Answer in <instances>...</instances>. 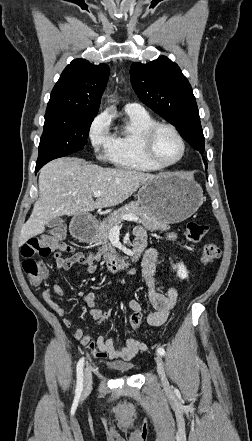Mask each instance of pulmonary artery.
<instances>
[{"instance_id":"1","label":"pulmonary artery","mask_w":252,"mask_h":441,"mask_svg":"<svg viewBox=\"0 0 252 441\" xmlns=\"http://www.w3.org/2000/svg\"><path fill=\"white\" fill-rule=\"evenodd\" d=\"M124 110L130 113H143L145 109L139 103H127L124 106Z\"/></svg>"}]
</instances>
